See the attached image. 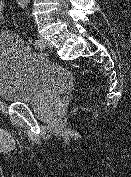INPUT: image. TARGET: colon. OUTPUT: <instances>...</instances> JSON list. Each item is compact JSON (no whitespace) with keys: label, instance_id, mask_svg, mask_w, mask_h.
<instances>
[{"label":"colon","instance_id":"colon-1","mask_svg":"<svg viewBox=\"0 0 131 177\" xmlns=\"http://www.w3.org/2000/svg\"><path fill=\"white\" fill-rule=\"evenodd\" d=\"M5 1L4 0H0V21L3 19L4 14H5Z\"/></svg>","mask_w":131,"mask_h":177}]
</instances>
